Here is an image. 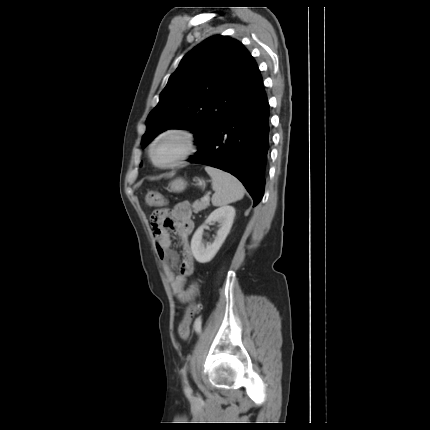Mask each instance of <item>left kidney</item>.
<instances>
[{"label":"left kidney","instance_id":"left-kidney-1","mask_svg":"<svg viewBox=\"0 0 430 430\" xmlns=\"http://www.w3.org/2000/svg\"><path fill=\"white\" fill-rule=\"evenodd\" d=\"M235 217V209L232 206H223L214 210L194 233L191 240V250L199 263L211 261L228 236ZM218 223L217 236L213 242L203 240L205 224Z\"/></svg>","mask_w":430,"mask_h":430}]
</instances>
